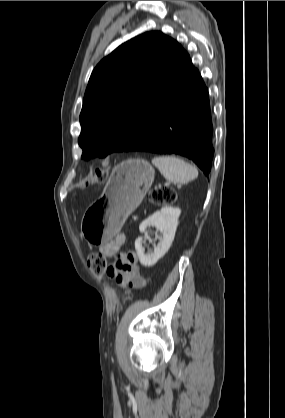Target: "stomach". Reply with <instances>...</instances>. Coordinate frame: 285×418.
<instances>
[{"label":"stomach","instance_id":"stomach-1","mask_svg":"<svg viewBox=\"0 0 285 418\" xmlns=\"http://www.w3.org/2000/svg\"><path fill=\"white\" fill-rule=\"evenodd\" d=\"M154 176L153 167L143 159H129L115 166L103 194L82 218L84 238L92 244L109 241L140 205Z\"/></svg>","mask_w":285,"mask_h":418}]
</instances>
